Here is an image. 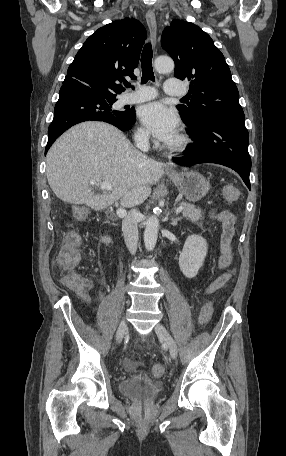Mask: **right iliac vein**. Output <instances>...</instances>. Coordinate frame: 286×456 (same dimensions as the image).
I'll return each instance as SVG.
<instances>
[{
    "label": "right iliac vein",
    "instance_id": "obj_1",
    "mask_svg": "<svg viewBox=\"0 0 286 456\" xmlns=\"http://www.w3.org/2000/svg\"><path fill=\"white\" fill-rule=\"evenodd\" d=\"M127 322L125 319H122L120 324H119V327L117 329V334H116V337H117V342L118 343H121L125 334L127 333Z\"/></svg>",
    "mask_w": 286,
    "mask_h": 456
}]
</instances>
